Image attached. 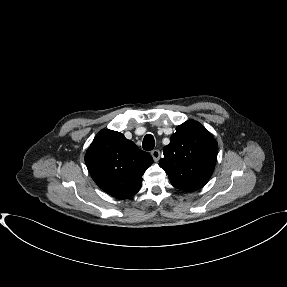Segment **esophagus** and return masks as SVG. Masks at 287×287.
I'll use <instances>...</instances> for the list:
<instances>
[{"label": "esophagus", "instance_id": "esophagus-1", "mask_svg": "<svg viewBox=\"0 0 287 287\" xmlns=\"http://www.w3.org/2000/svg\"><path fill=\"white\" fill-rule=\"evenodd\" d=\"M151 155H152L154 161H158V160L160 159V151L157 150V149H156V150H153V151L151 152Z\"/></svg>", "mask_w": 287, "mask_h": 287}]
</instances>
